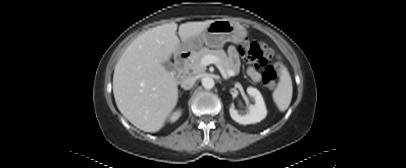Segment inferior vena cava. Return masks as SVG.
Segmentation results:
<instances>
[{
    "label": "inferior vena cava",
    "mask_w": 406,
    "mask_h": 168,
    "mask_svg": "<svg viewBox=\"0 0 406 168\" xmlns=\"http://www.w3.org/2000/svg\"><path fill=\"white\" fill-rule=\"evenodd\" d=\"M195 78L193 76H187L181 81V87L185 90H189L193 87Z\"/></svg>",
    "instance_id": "602c4592"
}]
</instances>
